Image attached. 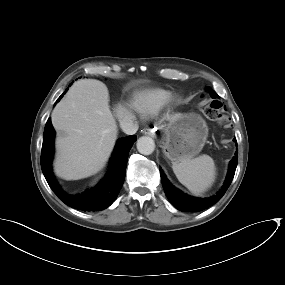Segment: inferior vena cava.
<instances>
[{"instance_id":"602c4592","label":"inferior vena cava","mask_w":285,"mask_h":285,"mask_svg":"<svg viewBox=\"0 0 285 285\" xmlns=\"http://www.w3.org/2000/svg\"><path fill=\"white\" fill-rule=\"evenodd\" d=\"M120 127L124 133L128 135H133L138 130V125L134 117L130 114L123 116L120 120Z\"/></svg>"}]
</instances>
